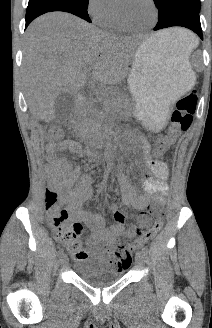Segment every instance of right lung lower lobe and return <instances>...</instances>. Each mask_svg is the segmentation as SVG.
<instances>
[{
    "mask_svg": "<svg viewBox=\"0 0 212 328\" xmlns=\"http://www.w3.org/2000/svg\"><path fill=\"white\" fill-rule=\"evenodd\" d=\"M87 7L88 4H84L78 0H29L26 11L25 28L36 17L52 11L69 12L91 22L87 12Z\"/></svg>",
    "mask_w": 212,
    "mask_h": 328,
    "instance_id": "98d812e1",
    "label": "right lung lower lobe"
}]
</instances>
